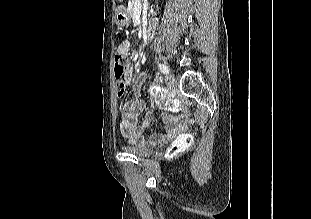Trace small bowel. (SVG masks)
Returning a JSON list of instances; mask_svg holds the SVG:
<instances>
[{
  "label": "small bowel",
  "instance_id": "1",
  "mask_svg": "<svg viewBox=\"0 0 311 219\" xmlns=\"http://www.w3.org/2000/svg\"><path fill=\"white\" fill-rule=\"evenodd\" d=\"M117 52L120 55L127 56L130 53V43L128 41H123L118 46ZM125 80L127 86L133 84V98L126 101L123 106L120 131L122 136L127 138L130 142H144L145 132L151 127L154 119L152 111H145L144 101L139 96L140 89L145 81V74L141 73L135 80H133L132 72L128 70L125 75ZM152 92L154 98L157 99L158 96L154 93L153 88ZM141 116L142 121L139 124ZM162 119L166 126V130L163 134L151 137V142L161 138L174 137L184 129V126L179 123L178 119L169 114H163Z\"/></svg>",
  "mask_w": 311,
  "mask_h": 219
}]
</instances>
